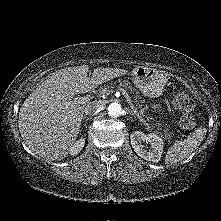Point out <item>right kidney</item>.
Segmentation results:
<instances>
[{
  "instance_id": "ca27d5eb",
  "label": "right kidney",
  "mask_w": 221,
  "mask_h": 221,
  "mask_svg": "<svg viewBox=\"0 0 221 221\" xmlns=\"http://www.w3.org/2000/svg\"><path fill=\"white\" fill-rule=\"evenodd\" d=\"M85 144V139L84 138H80L79 140H77L69 149V153L73 156L77 155L82 148L84 147Z\"/></svg>"
}]
</instances>
